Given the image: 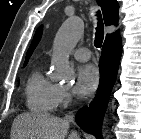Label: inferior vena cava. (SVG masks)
Segmentation results:
<instances>
[{
	"instance_id": "1",
	"label": "inferior vena cava",
	"mask_w": 141,
	"mask_h": 139,
	"mask_svg": "<svg viewBox=\"0 0 141 139\" xmlns=\"http://www.w3.org/2000/svg\"><path fill=\"white\" fill-rule=\"evenodd\" d=\"M65 119L69 120V121H73L74 117H73V115H66Z\"/></svg>"
}]
</instances>
